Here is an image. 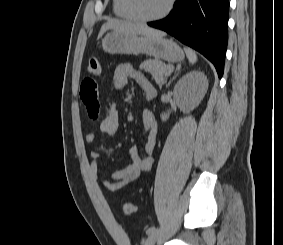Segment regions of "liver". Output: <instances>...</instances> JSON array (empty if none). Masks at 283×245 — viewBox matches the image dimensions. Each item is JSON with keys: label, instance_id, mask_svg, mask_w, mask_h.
I'll return each instance as SVG.
<instances>
[{"label": "liver", "instance_id": "6515ba94", "mask_svg": "<svg viewBox=\"0 0 283 245\" xmlns=\"http://www.w3.org/2000/svg\"><path fill=\"white\" fill-rule=\"evenodd\" d=\"M107 30H113L115 32H124L137 35H149V36H162L163 33L142 24H135L120 20H109L105 23L98 34V38L102 37Z\"/></svg>", "mask_w": 283, "mask_h": 245}]
</instances>
